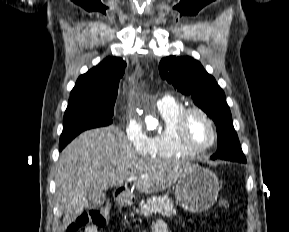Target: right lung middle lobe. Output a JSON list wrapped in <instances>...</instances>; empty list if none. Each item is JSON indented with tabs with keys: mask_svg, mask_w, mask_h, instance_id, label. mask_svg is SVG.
<instances>
[{
	"mask_svg": "<svg viewBox=\"0 0 289 232\" xmlns=\"http://www.w3.org/2000/svg\"><path fill=\"white\" fill-rule=\"evenodd\" d=\"M115 97H79L70 99L63 119L59 147H65L79 133L112 123Z\"/></svg>",
	"mask_w": 289,
	"mask_h": 232,
	"instance_id": "1",
	"label": "right lung middle lobe"
}]
</instances>
